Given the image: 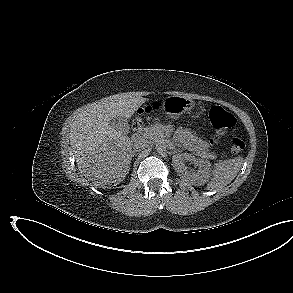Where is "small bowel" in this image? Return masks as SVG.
I'll return each instance as SVG.
<instances>
[{"label": "small bowel", "mask_w": 293, "mask_h": 293, "mask_svg": "<svg viewBox=\"0 0 293 293\" xmlns=\"http://www.w3.org/2000/svg\"><path fill=\"white\" fill-rule=\"evenodd\" d=\"M178 136L191 149L203 150L207 147V143L204 140L188 130H180Z\"/></svg>", "instance_id": "c3829d8e"}]
</instances>
